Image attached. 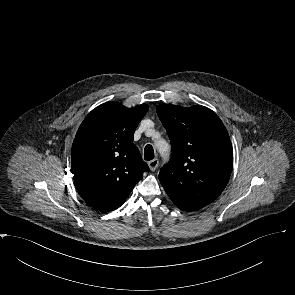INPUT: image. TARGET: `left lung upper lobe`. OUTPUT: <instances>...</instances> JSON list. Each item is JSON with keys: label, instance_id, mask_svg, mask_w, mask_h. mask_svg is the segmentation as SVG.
Here are the masks:
<instances>
[{"label": "left lung upper lobe", "instance_id": "left-lung-upper-lobe-1", "mask_svg": "<svg viewBox=\"0 0 295 295\" xmlns=\"http://www.w3.org/2000/svg\"><path fill=\"white\" fill-rule=\"evenodd\" d=\"M156 111L172 148L159 180L179 209L199 210L228 183L233 167L229 134L217 114L204 106L161 104Z\"/></svg>", "mask_w": 295, "mask_h": 295}]
</instances>
